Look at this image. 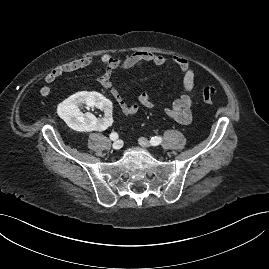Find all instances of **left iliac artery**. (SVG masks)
<instances>
[{
	"label": "left iliac artery",
	"instance_id": "1",
	"mask_svg": "<svg viewBox=\"0 0 269 269\" xmlns=\"http://www.w3.org/2000/svg\"><path fill=\"white\" fill-rule=\"evenodd\" d=\"M162 142V138L161 137H152L150 140L151 145L156 146L159 145Z\"/></svg>",
	"mask_w": 269,
	"mask_h": 269
}]
</instances>
